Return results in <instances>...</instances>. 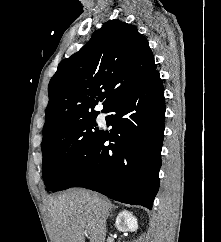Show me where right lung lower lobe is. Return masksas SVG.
Listing matches in <instances>:
<instances>
[{
  "label": "right lung lower lobe",
  "mask_w": 221,
  "mask_h": 242,
  "mask_svg": "<svg viewBox=\"0 0 221 242\" xmlns=\"http://www.w3.org/2000/svg\"><path fill=\"white\" fill-rule=\"evenodd\" d=\"M100 131L52 191L84 187L123 203L152 208L159 189L165 98L160 74L119 96ZM111 141L105 146L106 141Z\"/></svg>",
  "instance_id": "obj_1"
}]
</instances>
